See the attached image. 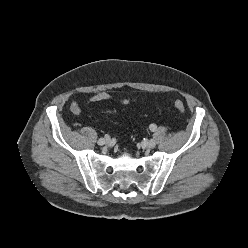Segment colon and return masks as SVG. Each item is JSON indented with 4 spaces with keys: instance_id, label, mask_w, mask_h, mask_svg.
Returning <instances> with one entry per match:
<instances>
[{
    "instance_id": "5ec220e1",
    "label": "colon",
    "mask_w": 248,
    "mask_h": 248,
    "mask_svg": "<svg viewBox=\"0 0 248 248\" xmlns=\"http://www.w3.org/2000/svg\"><path fill=\"white\" fill-rule=\"evenodd\" d=\"M174 106L181 113H183L185 111V105L181 100H175L174 101Z\"/></svg>"
}]
</instances>
